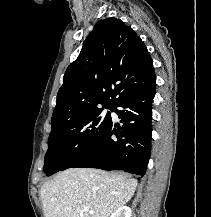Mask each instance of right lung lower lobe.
Segmentation results:
<instances>
[{"label": "right lung lower lobe", "mask_w": 211, "mask_h": 217, "mask_svg": "<svg viewBox=\"0 0 211 217\" xmlns=\"http://www.w3.org/2000/svg\"><path fill=\"white\" fill-rule=\"evenodd\" d=\"M155 82L153 73L130 88L112 109L123 125L111 122L98 145L71 167L123 170L140 176L145 174L151 149V103ZM113 135L117 139H113Z\"/></svg>", "instance_id": "98d812e1"}]
</instances>
